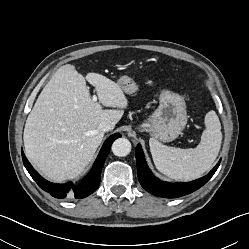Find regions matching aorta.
Listing matches in <instances>:
<instances>
[{
    "label": "aorta",
    "mask_w": 249,
    "mask_h": 249,
    "mask_svg": "<svg viewBox=\"0 0 249 249\" xmlns=\"http://www.w3.org/2000/svg\"><path fill=\"white\" fill-rule=\"evenodd\" d=\"M112 152L118 157H125L131 152V143L126 138H118L112 144Z\"/></svg>",
    "instance_id": "762f6f07"
}]
</instances>
